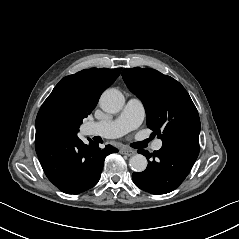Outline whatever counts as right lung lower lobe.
Segmentation results:
<instances>
[{
	"label": "right lung lower lobe",
	"mask_w": 239,
	"mask_h": 239,
	"mask_svg": "<svg viewBox=\"0 0 239 239\" xmlns=\"http://www.w3.org/2000/svg\"><path fill=\"white\" fill-rule=\"evenodd\" d=\"M36 152L47 178L62 192L79 194L98 182L104 158L118 152L111 145L99 149L90 141L58 130H41L35 136Z\"/></svg>",
	"instance_id": "1"
}]
</instances>
